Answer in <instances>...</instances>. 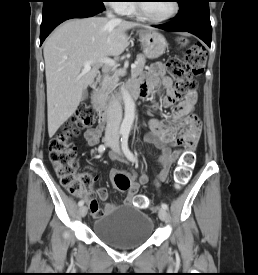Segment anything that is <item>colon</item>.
<instances>
[{"mask_svg": "<svg viewBox=\"0 0 258 275\" xmlns=\"http://www.w3.org/2000/svg\"><path fill=\"white\" fill-rule=\"evenodd\" d=\"M179 44L183 47L187 46L185 57L168 59L166 67L177 80V91L181 94H188L198 87L196 78L203 73L206 54L199 45L189 44L187 39H179ZM94 117L95 111L92 107L81 106L62 126L59 133L51 139L49 144V159L59 181L66 189L76 195L91 193L95 178L88 173L82 175L77 173L78 163L73 137L82 129L90 127ZM193 164V154L188 151L182 156L174 172L176 189L187 184ZM114 183L120 191L127 192L129 190L130 179L123 173H117L114 176ZM134 204L140 209H145L150 205V201L146 196H136L134 197Z\"/></svg>", "mask_w": 258, "mask_h": 275, "instance_id": "1", "label": "colon"}]
</instances>
